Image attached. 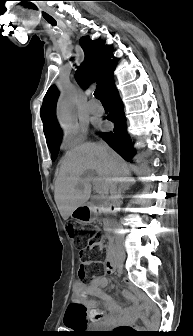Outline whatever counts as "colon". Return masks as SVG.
Here are the masks:
<instances>
[{
    "mask_svg": "<svg viewBox=\"0 0 193 336\" xmlns=\"http://www.w3.org/2000/svg\"><path fill=\"white\" fill-rule=\"evenodd\" d=\"M67 231L70 237L75 241L76 245L80 248V257L82 260L81 267L79 269V276L84 278L90 266L94 265L100 258L102 249L96 239L95 235H90L87 241H84L77 233L73 224H68ZM121 331L128 330L125 328Z\"/></svg>",
    "mask_w": 193,
    "mask_h": 336,
    "instance_id": "5ec220e1",
    "label": "colon"
}]
</instances>
